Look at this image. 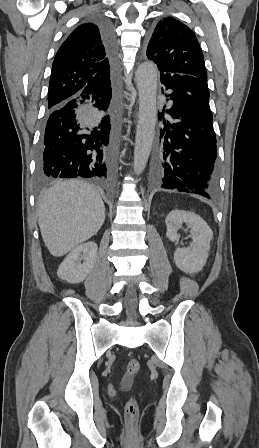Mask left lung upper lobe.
<instances>
[{
	"label": "left lung upper lobe",
	"mask_w": 259,
	"mask_h": 448,
	"mask_svg": "<svg viewBox=\"0 0 259 448\" xmlns=\"http://www.w3.org/2000/svg\"><path fill=\"white\" fill-rule=\"evenodd\" d=\"M146 55L160 72L191 75L207 82L200 44L194 32L179 20L166 17L157 23Z\"/></svg>",
	"instance_id": "1"
}]
</instances>
